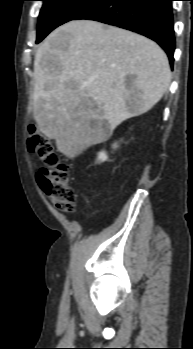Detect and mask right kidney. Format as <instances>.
I'll list each match as a JSON object with an SVG mask.
<instances>
[{
    "instance_id": "1",
    "label": "right kidney",
    "mask_w": 193,
    "mask_h": 349,
    "mask_svg": "<svg viewBox=\"0 0 193 349\" xmlns=\"http://www.w3.org/2000/svg\"><path fill=\"white\" fill-rule=\"evenodd\" d=\"M113 148H117V144H114V145H113ZM107 159H108V156H107V154H106L105 151H101V152L98 153L97 160H98L99 162H104V161H106Z\"/></svg>"
}]
</instances>
